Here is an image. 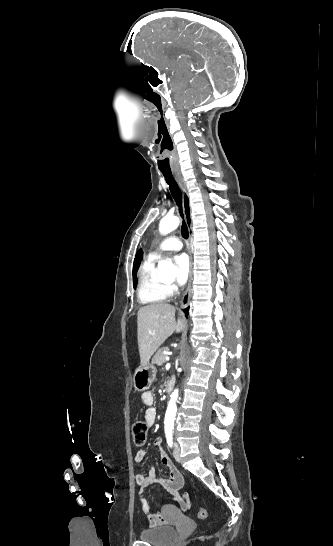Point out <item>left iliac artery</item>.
Returning <instances> with one entry per match:
<instances>
[{"instance_id": "44dca946", "label": "left iliac artery", "mask_w": 333, "mask_h": 546, "mask_svg": "<svg viewBox=\"0 0 333 546\" xmlns=\"http://www.w3.org/2000/svg\"><path fill=\"white\" fill-rule=\"evenodd\" d=\"M165 434H166V440H167V443H168L169 447H172V445H173V431H172V429L165 430Z\"/></svg>"}]
</instances>
